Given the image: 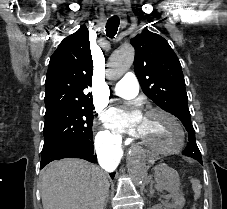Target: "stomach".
Segmentation results:
<instances>
[{"instance_id":"obj_1","label":"stomach","mask_w":227,"mask_h":209,"mask_svg":"<svg viewBox=\"0 0 227 209\" xmlns=\"http://www.w3.org/2000/svg\"><path fill=\"white\" fill-rule=\"evenodd\" d=\"M154 178L157 186L171 193L173 208H182L185 204V198L179 191L178 172L166 164H160L155 167Z\"/></svg>"}]
</instances>
